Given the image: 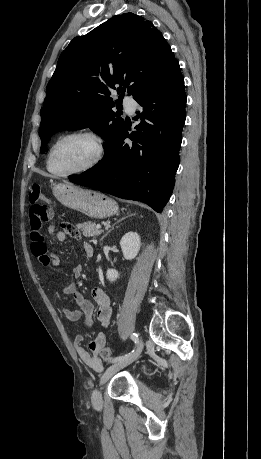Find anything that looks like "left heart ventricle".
Wrapping results in <instances>:
<instances>
[{
    "instance_id": "b2bd125f",
    "label": "left heart ventricle",
    "mask_w": 261,
    "mask_h": 459,
    "mask_svg": "<svg viewBox=\"0 0 261 459\" xmlns=\"http://www.w3.org/2000/svg\"><path fill=\"white\" fill-rule=\"evenodd\" d=\"M94 155L93 143L85 137H71L55 148L51 158V169L66 173L88 163Z\"/></svg>"
}]
</instances>
